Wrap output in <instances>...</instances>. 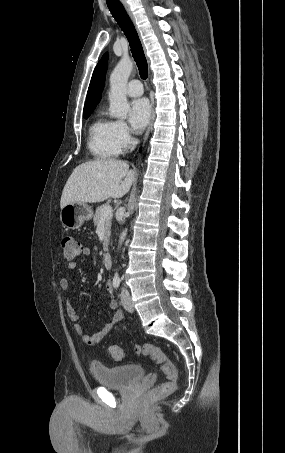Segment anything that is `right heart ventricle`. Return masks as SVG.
Instances as JSON below:
<instances>
[{
  "label": "right heart ventricle",
  "instance_id": "e07e8e85",
  "mask_svg": "<svg viewBox=\"0 0 285 453\" xmlns=\"http://www.w3.org/2000/svg\"><path fill=\"white\" fill-rule=\"evenodd\" d=\"M88 147L90 152L99 159L117 156L120 148L115 136V121L99 112L89 128Z\"/></svg>",
  "mask_w": 285,
  "mask_h": 453
}]
</instances>
